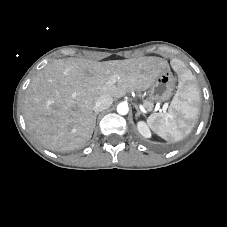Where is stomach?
<instances>
[{
  "label": "stomach",
  "mask_w": 227,
  "mask_h": 227,
  "mask_svg": "<svg viewBox=\"0 0 227 227\" xmlns=\"http://www.w3.org/2000/svg\"><path fill=\"white\" fill-rule=\"evenodd\" d=\"M176 79L170 70L160 74L155 80L150 90V99L155 102H164L170 100L174 94Z\"/></svg>",
  "instance_id": "stomach-1"
}]
</instances>
